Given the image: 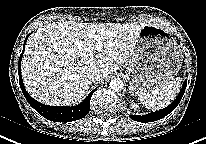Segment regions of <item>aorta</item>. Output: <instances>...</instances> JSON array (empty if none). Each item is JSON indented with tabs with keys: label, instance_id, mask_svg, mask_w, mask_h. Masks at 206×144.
<instances>
[{
	"label": "aorta",
	"instance_id": "aorta-1",
	"mask_svg": "<svg viewBox=\"0 0 206 144\" xmlns=\"http://www.w3.org/2000/svg\"><path fill=\"white\" fill-rule=\"evenodd\" d=\"M123 81L119 78L110 81V88L115 92H120L123 89Z\"/></svg>",
	"mask_w": 206,
	"mask_h": 144
}]
</instances>
